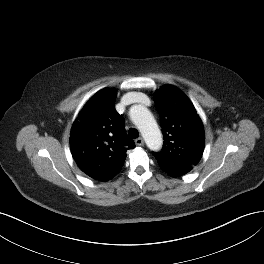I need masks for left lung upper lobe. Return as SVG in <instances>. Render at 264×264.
<instances>
[{"label":"left lung upper lobe","instance_id":"left-lung-upper-lobe-1","mask_svg":"<svg viewBox=\"0 0 264 264\" xmlns=\"http://www.w3.org/2000/svg\"><path fill=\"white\" fill-rule=\"evenodd\" d=\"M161 118L163 148L153 152L160 168L169 173H187L202 157L205 138L199 115L179 89L165 85L154 94Z\"/></svg>","mask_w":264,"mask_h":264}]
</instances>
